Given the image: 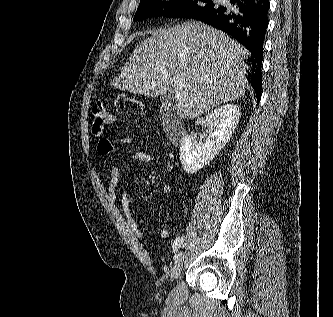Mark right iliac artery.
Returning <instances> with one entry per match:
<instances>
[{
  "label": "right iliac artery",
  "instance_id": "right-iliac-artery-1",
  "mask_svg": "<svg viewBox=\"0 0 333 317\" xmlns=\"http://www.w3.org/2000/svg\"><path fill=\"white\" fill-rule=\"evenodd\" d=\"M184 236H179L176 238V240L173 243V252L177 253V251L179 250V248L181 247V245L184 242Z\"/></svg>",
  "mask_w": 333,
  "mask_h": 317
}]
</instances>
